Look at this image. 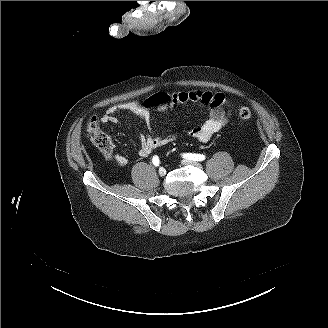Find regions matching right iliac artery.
<instances>
[{
	"label": "right iliac artery",
	"mask_w": 328,
	"mask_h": 328,
	"mask_svg": "<svg viewBox=\"0 0 328 328\" xmlns=\"http://www.w3.org/2000/svg\"><path fill=\"white\" fill-rule=\"evenodd\" d=\"M152 163L155 165V166H159V157L156 155V156H153V159H152Z\"/></svg>",
	"instance_id": "1"
}]
</instances>
